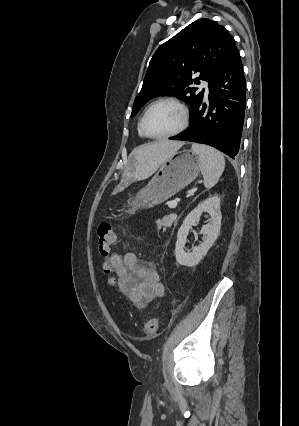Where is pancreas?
<instances>
[{
  "label": "pancreas",
  "instance_id": "pancreas-1",
  "mask_svg": "<svg viewBox=\"0 0 299 426\" xmlns=\"http://www.w3.org/2000/svg\"><path fill=\"white\" fill-rule=\"evenodd\" d=\"M174 222H176L175 216L173 215L165 216L157 222V229L161 230V228H163V231H165L166 228L170 227Z\"/></svg>",
  "mask_w": 299,
  "mask_h": 426
}]
</instances>
